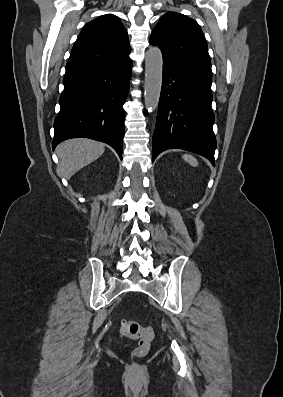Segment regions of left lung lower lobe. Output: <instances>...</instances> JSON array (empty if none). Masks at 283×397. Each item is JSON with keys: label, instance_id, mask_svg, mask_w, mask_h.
<instances>
[{"label": "left lung lower lobe", "instance_id": "0a47b994", "mask_svg": "<svg viewBox=\"0 0 283 397\" xmlns=\"http://www.w3.org/2000/svg\"><path fill=\"white\" fill-rule=\"evenodd\" d=\"M212 100L211 84L163 59L152 161L161 152L178 148L204 156L215 165Z\"/></svg>", "mask_w": 283, "mask_h": 397}]
</instances>
